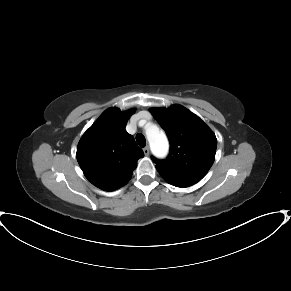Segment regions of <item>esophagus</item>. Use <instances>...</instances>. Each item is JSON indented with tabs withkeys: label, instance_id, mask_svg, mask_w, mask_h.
Wrapping results in <instances>:
<instances>
[{
	"label": "esophagus",
	"instance_id": "34e87169",
	"mask_svg": "<svg viewBox=\"0 0 291 291\" xmlns=\"http://www.w3.org/2000/svg\"><path fill=\"white\" fill-rule=\"evenodd\" d=\"M143 152H144L145 156H148L149 153H150L149 147H148V146L145 147V148L143 149Z\"/></svg>",
	"mask_w": 291,
	"mask_h": 291
}]
</instances>
